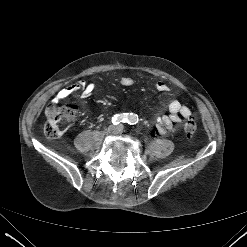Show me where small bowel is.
Listing matches in <instances>:
<instances>
[{
  "mask_svg": "<svg viewBox=\"0 0 247 247\" xmlns=\"http://www.w3.org/2000/svg\"><path fill=\"white\" fill-rule=\"evenodd\" d=\"M134 80L129 76H123L120 78V84L128 87L133 85ZM156 90L159 92H168L170 87L164 81H158L155 84ZM95 89L94 84L86 83L85 81H79L78 83L68 85L62 88L55 96L53 102L64 100L77 91H81L83 98H88L92 95ZM169 114L161 116L157 119V129L160 133L164 134L170 130L174 123H179L182 119H188L191 117L192 112L189 107L181 104L177 100H173L168 105Z\"/></svg>",
  "mask_w": 247,
  "mask_h": 247,
  "instance_id": "small-bowel-1",
  "label": "small bowel"
}]
</instances>
